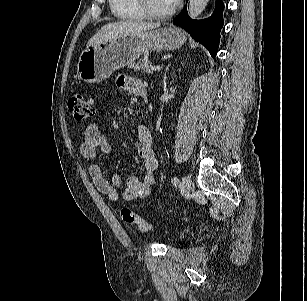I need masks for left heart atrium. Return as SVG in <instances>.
Instances as JSON below:
<instances>
[{
    "instance_id": "left-heart-atrium-1",
    "label": "left heart atrium",
    "mask_w": 307,
    "mask_h": 301,
    "mask_svg": "<svg viewBox=\"0 0 307 301\" xmlns=\"http://www.w3.org/2000/svg\"><path fill=\"white\" fill-rule=\"evenodd\" d=\"M178 2L179 0H170V3L172 4V6H176Z\"/></svg>"
}]
</instances>
